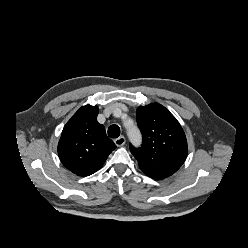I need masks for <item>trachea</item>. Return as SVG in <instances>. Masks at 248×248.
I'll list each match as a JSON object with an SVG mask.
<instances>
[{"instance_id": "obj_1", "label": "trachea", "mask_w": 248, "mask_h": 248, "mask_svg": "<svg viewBox=\"0 0 248 248\" xmlns=\"http://www.w3.org/2000/svg\"><path fill=\"white\" fill-rule=\"evenodd\" d=\"M108 136L110 138H118L120 136V128L117 125H111L108 128Z\"/></svg>"}]
</instances>
